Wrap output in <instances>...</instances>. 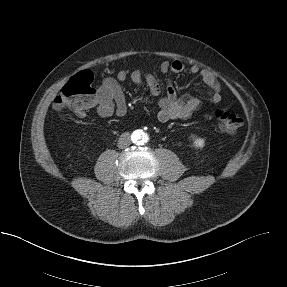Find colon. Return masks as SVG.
<instances>
[{
	"label": "colon",
	"instance_id": "colon-1",
	"mask_svg": "<svg viewBox=\"0 0 287 287\" xmlns=\"http://www.w3.org/2000/svg\"><path fill=\"white\" fill-rule=\"evenodd\" d=\"M93 81V74L88 70L75 74L54 99V109H70L78 114L92 107L97 96ZM214 120L216 127L228 134L235 133L242 126V119L238 115L225 110L215 111Z\"/></svg>",
	"mask_w": 287,
	"mask_h": 287
}]
</instances>
